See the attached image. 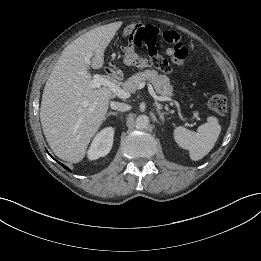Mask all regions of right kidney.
I'll use <instances>...</instances> for the list:
<instances>
[{"mask_svg":"<svg viewBox=\"0 0 261 261\" xmlns=\"http://www.w3.org/2000/svg\"><path fill=\"white\" fill-rule=\"evenodd\" d=\"M114 129L107 127L101 130L93 139L88 150V158L96 160L99 157L106 156L113 145Z\"/></svg>","mask_w":261,"mask_h":261,"instance_id":"obj_1","label":"right kidney"}]
</instances>
